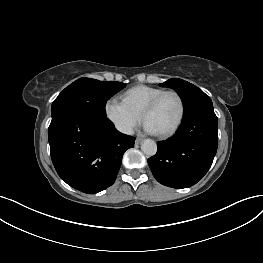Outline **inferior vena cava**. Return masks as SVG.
Instances as JSON below:
<instances>
[{"instance_id":"602c4592","label":"inferior vena cava","mask_w":263,"mask_h":263,"mask_svg":"<svg viewBox=\"0 0 263 263\" xmlns=\"http://www.w3.org/2000/svg\"><path fill=\"white\" fill-rule=\"evenodd\" d=\"M123 133L125 134H128V135H132L134 132H133V129L131 127H126L122 130Z\"/></svg>"}]
</instances>
